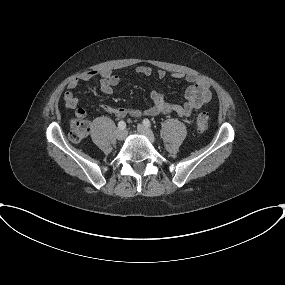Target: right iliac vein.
<instances>
[{"instance_id": "1", "label": "right iliac vein", "mask_w": 285, "mask_h": 285, "mask_svg": "<svg viewBox=\"0 0 285 285\" xmlns=\"http://www.w3.org/2000/svg\"><path fill=\"white\" fill-rule=\"evenodd\" d=\"M126 136H127V131L126 130H124V129L116 130V138L118 140H123V139L126 138Z\"/></svg>"}]
</instances>
